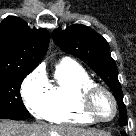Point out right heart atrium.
Wrapping results in <instances>:
<instances>
[{
    "label": "right heart atrium",
    "instance_id": "d8ad5b80",
    "mask_svg": "<svg viewBox=\"0 0 136 136\" xmlns=\"http://www.w3.org/2000/svg\"><path fill=\"white\" fill-rule=\"evenodd\" d=\"M21 96L29 112L42 118L50 103V86L43 72L35 70L25 78Z\"/></svg>",
    "mask_w": 136,
    "mask_h": 136
}]
</instances>
